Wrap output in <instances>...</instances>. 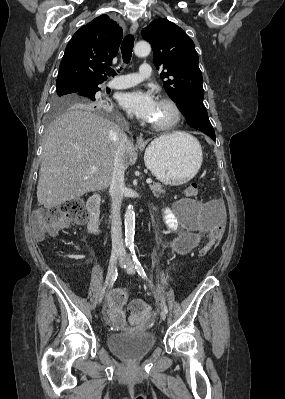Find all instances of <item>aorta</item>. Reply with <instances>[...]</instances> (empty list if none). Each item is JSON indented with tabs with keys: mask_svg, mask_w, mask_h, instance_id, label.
I'll return each instance as SVG.
<instances>
[{
	"mask_svg": "<svg viewBox=\"0 0 285 399\" xmlns=\"http://www.w3.org/2000/svg\"><path fill=\"white\" fill-rule=\"evenodd\" d=\"M151 52L148 42L139 41L134 47L135 55L139 57L147 56ZM135 235V212L132 205H129L125 212V243L126 246H133Z\"/></svg>",
	"mask_w": 285,
	"mask_h": 399,
	"instance_id": "762f6f07",
	"label": "aorta"
}]
</instances>
